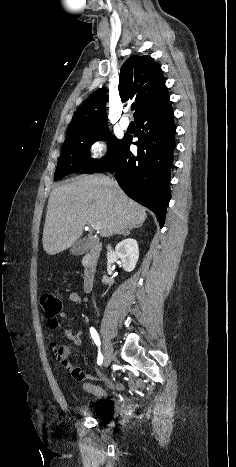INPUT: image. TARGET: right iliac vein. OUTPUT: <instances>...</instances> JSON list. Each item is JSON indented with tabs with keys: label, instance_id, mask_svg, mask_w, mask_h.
Listing matches in <instances>:
<instances>
[{
	"label": "right iliac vein",
	"instance_id": "63e3f726",
	"mask_svg": "<svg viewBox=\"0 0 236 467\" xmlns=\"http://www.w3.org/2000/svg\"><path fill=\"white\" fill-rule=\"evenodd\" d=\"M103 352H104L103 365L104 367H108L113 359V348H112L111 343L108 340L105 341Z\"/></svg>",
	"mask_w": 236,
	"mask_h": 467
}]
</instances>
